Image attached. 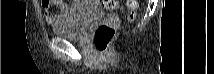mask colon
<instances>
[{
    "label": "colon",
    "mask_w": 214,
    "mask_h": 74,
    "mask_svg": "<svg viewBox=\"0 0 214 74\" xmlns=\"http://www.w3.org/2000/svg\"><path fill=\"white\" fill-rule=\"evenodd\" d=\"M101 4L104 8L108 10H115L118 8L119 3L117 1H102ZM127 6L130 10L128 15L129 20H133L136 17V9L138 6V2L135 0L127 1ZM118 24L116 21H111L108 23H104L100 25L94 35V45L98 51L101 53H105L109 45L115 35V29L117 28Z\"/></svg>",
    "instance_id": "obj_1"
}]
</instances>
